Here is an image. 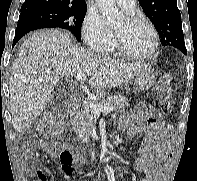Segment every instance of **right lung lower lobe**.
I'll list each match as a JSON object with an SVG mask.
<instances>
[{
	"label": "right lung lower lobe",
	"instance_id": "obj_1",
	"mask_svg": "<svg viewBox=\"0 0 197 181\" xmlns=\"http://www.w3.org/2000/svg\"><path fill=\"white\" fill-rule=\"evenodd\" d=\"M41 28H53V24L45 20H42L38 17L20 14L16 32H15V37L13 40V46L26 33L33 31V30L41 29Z\"/></svg>",
	"mask_w": 197,
	"mask_h": 181
}]
</instances>
